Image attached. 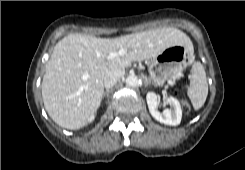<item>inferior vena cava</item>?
Instances as JSON below:
<instances>
[{"instance_id":"1","label":"inferior vena cava","mask_w":245,"mask_h":170,"mask_svg":"<svg viewBox=\"0 0 245 170\" xmlns=\"http://www.w3.org/2000/svg\"><path fill=\"white\" fill-rule=\"evenodd\" d=\"M124 73V71L108 72L104 77V86L106 89L112 88Z\"/></svg>"}]
</instances>
